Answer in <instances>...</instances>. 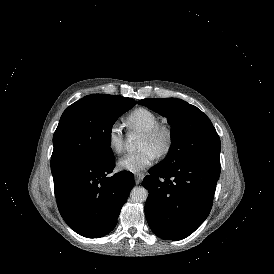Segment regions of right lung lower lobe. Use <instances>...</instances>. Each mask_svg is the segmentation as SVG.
<instances>
[{"label":"right lung lower lobe","instance_id":"98d812e1","mask_svg":"<svg viewBox=\"0 0 274 274\" xmlns=\"http://www.w3.org/2000/svg\"><path fill=\"white\" fill-rule=\"evenodd\" d=\"M114 158L103 162L74 161L51 168L58 209L78 234L99 238L117 224L120 210L134 186L133 174L108 177Z\"/></svg>","mask_w":274,"mask_h":274}]
</instances>
